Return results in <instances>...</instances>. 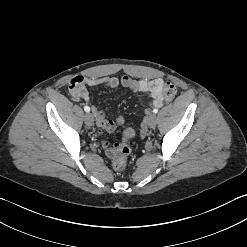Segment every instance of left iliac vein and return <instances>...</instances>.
Masks as SVG:
<instances>
[{
    "instance_id": "obj_1",
    "label": "left iliac vein",
    "mask_w": 247,
    "mask_h": 247,
    "mask_svg": "<svg viewBox=\"0 0 247 247\" xmlns=\"http://www.w3.org/2000/svg\"><path fill=\"white\" fill-rule=\"evenodd\" d=\"M157 123V117L155 114H151L148 118V125L150 128H154Z\"/></svg>"
}]
</instances>
